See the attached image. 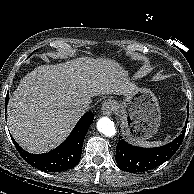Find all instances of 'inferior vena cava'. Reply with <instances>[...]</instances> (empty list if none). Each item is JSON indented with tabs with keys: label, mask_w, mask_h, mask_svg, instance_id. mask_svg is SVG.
<instances>
[{
	"label": "inferior vena cava",
	"mask_w": 194,
	"mask_h": 194,
	"mask_svg": "<svg viewBox=\"0 0 194 194\" xmlns=\"http://www.w3.org/2000/svg\"><path fill=\"white\" fill-rule=\"evenodd\" d=\"M90 103H91L90 100H86V101L81 102V103H80V110H81L82 112L88 110V109H89V106H90Z\"/></svg>",
	"instance_id": "inferior-vena-cava-1"
}]
</instances>
